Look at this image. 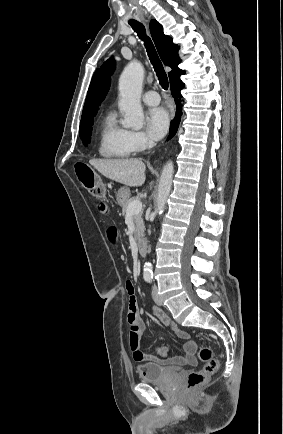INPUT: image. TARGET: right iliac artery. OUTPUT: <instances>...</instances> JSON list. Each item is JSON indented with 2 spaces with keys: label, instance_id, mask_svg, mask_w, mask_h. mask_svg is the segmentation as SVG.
Returning <instances> with one entry per match:
<instances>
[{
  "label": "right iliac artery",
  "instance_id": "82829eb1",
  "mask_svg": "<svg viewBox=\"0 0 283 434\" xmlns=\"http://www.w3.org/2000/svg\"><path fill=\"white\" fill-rule=\"evenodd\" d=\"M151 280H152V277H150V276L145 277V281L151 282Z\"/></svg>",
  "mask_w": 283,
  "mask_h": 434
}]
</instances>
